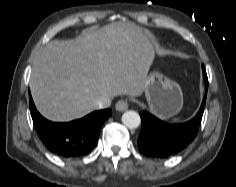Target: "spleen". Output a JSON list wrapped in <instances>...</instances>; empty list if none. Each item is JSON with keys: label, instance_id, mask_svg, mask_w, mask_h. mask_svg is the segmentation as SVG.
Returning a JSON list of instances; mask_svg holds the SVG:
<instances>
[{"label": "spleen", "instance_id": "1", "mask_svg": "<svg viewBox=\"0 0 236 187\" xmlns=\"http://www.w3.org/2000/svg\"><path fill=\"white\" fill-rule=\"evenodd\" d=\"M172 123H177V122H180V118H175V119H172L171 120Z\"/></svg>", "mask_w": 236, "mask_h": 187}]
</instances>
